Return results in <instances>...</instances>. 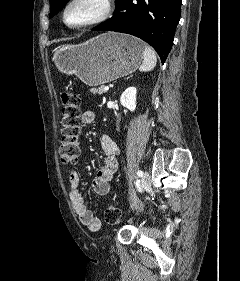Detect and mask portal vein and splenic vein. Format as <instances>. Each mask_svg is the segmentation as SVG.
I'll return each instance as SVG.
<instances>
[{"instance_id":"1","label":"portal vein and splenic vein","mask_w":240,"mask_h":281,"mask_svg":"<svg viewBox=\"0 0 240 281\" xmlns=\"http://www.w3.org/2000/svg\"><path fill=\"white\" fill-rule=\"evenodd\" d=\"M109 88H110L109 86H105V87H104V90H105V91H108Z\"/></svg>"}]
</instances>
